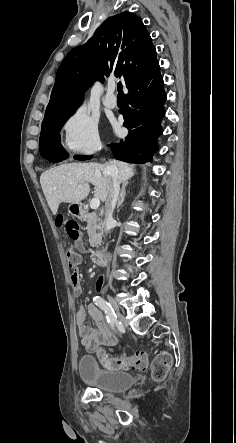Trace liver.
<instances>
[{
	"label": "liver",
	"instance_id": "6515ba94",
	"mask_svg": "<svg viewBox=\"0 0 236 443\" xmlns=\"http://www.w3.org/2000/svg\"><path fill=\"white\" fill-rule=\"evenodd\" d=\"M114 166L120 183H128L134 175L133 165L112 160L104 164L72 163L46 170L40 176V184L47 203L56 215L61 202L80 203L89 192V183L94 185V197L105 201L109 195L110 178L104 174L107 166ZM82 187L79 188L78 186Z\"/></svg>",
	"mask_w": 236,
	"mask_h": 443
}]
</instances>
